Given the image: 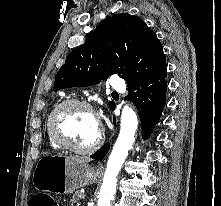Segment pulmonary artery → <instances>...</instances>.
<instances>
[{
  "mask_svg": "<svg viewBox=\"0 0 221 206\" xmlns=\"http://www.w3.org/2000/svg\"><path fill=\"white\" fill-rule=\"evenodd\" d=\"M110 86L117 90L122 92L125 89V83L124 81L118 77V76H112L110 79Z\"/></svg>",
  "mask_w": 221,
  "mask_h": 206,
  "instance_id": "e3ab8cb5",
  "label": "pulmonary artery"
}]
</instances>
